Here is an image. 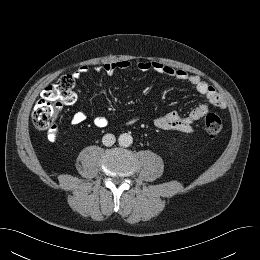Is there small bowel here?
<instances>
[{
    "mask_svg": "<svg viewBox=\"0 0 260 260\" xmlns=\"http://www.w3.org/2000/svg\"><path fill=\"white\" fill-rule=\"evenodd\" d=\"M131 66V62L127 60H119L114 62H109L103 66L97 67V71L104 72L106 74H112L117 70H125ZM137 68L143 72L152 71L160 75L169 76L177 80L186 82L193 86L195 90L204 95L209 103L218 109H225L226 102L223 97L217 92V90L206 81L202 80L200 77L189 74L188 72L177 69L172 66L162 64L157 61L141 60L136 64ZM88 71L86 66H81L73 72L75 78H80ZM209 111V106L207 104H201L192 109L187 115L182 116L177 112H168L162 116L157 117L154 120V125L160 130H176L185 133L193 131V124L207 114ZM86 119V114L83 111L76 112L72 118L71 123L73 125H80ZM137 119H131L127 121V124H132L136 122ZM94 123L97 127L103 128L107 126L108 119L105 116H98L94 119ZM55 133L49 134V139L51 141L55 140Z\"/></svg>",
    "mask_w": 260,
    "mask_h": 260,
    "instance_id": "1",
    "label": "small bowel"
}]
</instances>
